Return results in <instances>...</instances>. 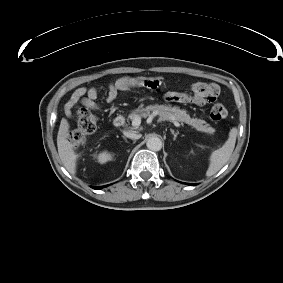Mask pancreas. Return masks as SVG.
Returning a JSON list of instances; mask_svg holds the SVG:
<instances>
[{
    "instance_id": "pancreas-1",
    "label": "pancreas",
    "mask_w": 283,
    "mask_h": 283,
    "mask_svg": "<svg viewBox=\"0 0 283 283\" xmlns=\"http://www.w3.org/2000/svg\"><path fill=\"white\" fill-rule=\"evenodd\" d=\"M152 112H157V115L161 120H175L179 122H185L194 126L196 129L209 133L214 132V130L209 126V124H206L205 121L197 118H191L185 110L167 105H150L145 108L136 109L130 114V118L133 119L137 116L147 117Z\"/></svg>"
}]
</instances>
